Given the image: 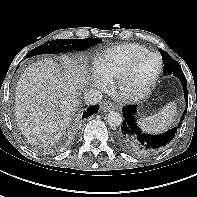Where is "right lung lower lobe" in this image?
Wrapping results in <instances>:
<instances>
[{
  "label": "right lung lower lobe",
  "instance_id": "right-lung-lower-lobe-1",
  "mask_svg": "<svg viewBox=\"0 0 197 197\" xmlns=\"http://www.w3.org/2000/svg\"><path fill=\"white\" fill-rule=\"evenodd\" d=\"M99 109L98 105L90 106L86 112L83 113V118H87L93 114H95Z\"/></svg>",
  "mask_w": 197,
  "mask_h": 197
}]
</instances>
